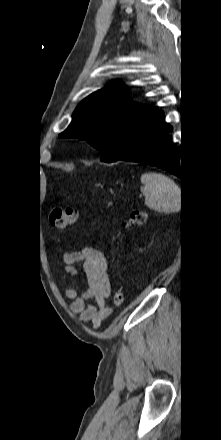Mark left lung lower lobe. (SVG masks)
<instances>
[{
	"label": "left lung lower lobe",
	"instance_id": "left-lung-lower-lobe-1",
	"mask_svg": "<svg viewBox=\"0 0 221 440\" xmlns=\"http://www.w3.org/2000/svg\"><path fill=\"white\" fill-rule=\"evenodd\" d=\"M170 131L172 127L164 122L163 113L150 109L134 128L126 151L118 160L150 164L182 178V163L180 166L167 138Z\"/></svg>",
	"mask_w": 221,
	"mask_h": 440
}]
</instances>
